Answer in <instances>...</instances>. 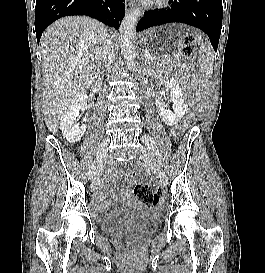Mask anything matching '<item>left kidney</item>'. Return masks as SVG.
Here are the masks:
<instances>
[{"instance_id": "obj_1", "label": "left kidney", "mask_w": 265, "mask_h": 273, "mask_svg": "<svg viewBox=\"0 0 265 273\" xmlns=\"http://www.w3.org/2000/svg\"><path fill=\"white\" fill-rule=\"evenodd\" d=\"M169 98L173 103V111L167 109V105H165L160 99H156L155 105L162 121L167 125H174L181 120L186 111L183 92L175 78L170 79Z\"/></svg>"}]
</instances>
